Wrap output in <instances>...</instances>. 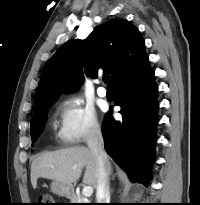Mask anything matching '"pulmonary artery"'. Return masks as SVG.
Segmentation results:
<instances>
[{
	"label": "pulmonary artery",
	"mask_w": 200,
	"mask_h": 205,
	"mask_svg": "<svg viewBox=\"0 0 200 205\" xmlns=\"http://www.w3.org/2000/svg\"><path fill=\"white\" fill-rule=\"evenodd\" d=\"M97 94L99 97H106L107 96V91L104 87L100 86L97 89Z\"/></svg>",
	"instance_id": "1"
}]
</instances>
